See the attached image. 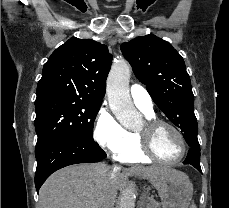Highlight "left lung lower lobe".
Here are the masks:
<instances>
[{
    "mask_svg": "<svg viewBox=\"0 0 229 208\" xmlns=\"http://www.w3.org/2000/svg\"><path fill=\"white\" fill-rule=\"evenodd\" d=\"M198 132H186L183 133V137L185 138L187 144L190 146L187 157L183 164H191L194 166L200 173V145L197 139Z\"/></svg>",
    "mask_w": 229,
    "mask_h": 208,
    "instance_id": "obj_1",
    "label": "left lung lower lobe"
}]
</instances>
